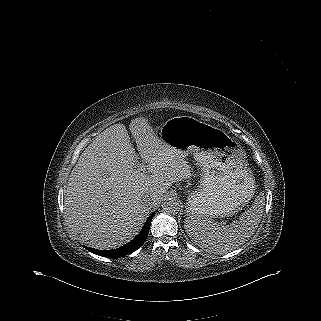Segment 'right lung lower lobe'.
Wrapping results in <instances>:
<instances>
[{
  "label": "right lung lower lobe",
  "mask_w": 321,
  "mask_h": 321,
  "mask_svg": "<svg viewBox=\"0 0 321 321\" xmlns=\"http://www.w3.org/2000/svg\"><path fill=\"white\" fill-rule=\"evenodd\" d=\"M153 217H154V214H152L147 219L139 235L136 238H134L132 241L125 244L124 246H121L117 249H112V250H97L90 247H85V248L96 255L105 256L109 258L121 257L124 255L130 254L136 251L138 248H140L142 244L145 242V240L147 239L151 220Z\"/></svg>",
  "instance_id": "obj_1"
}]
</instances>
